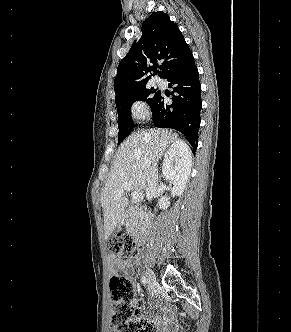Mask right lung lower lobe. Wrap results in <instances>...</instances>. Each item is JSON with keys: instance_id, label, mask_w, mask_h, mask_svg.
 Returning <instances> with one entry per match:
<instances>
[{"instance_id": "right-lung-lower-lobe-1", "label": "right lung lower lobe", "mask_w": 291, "mask_h": 332, "mask_svg": "<svg viewBox=\"0 0 291 332\" xmlns=\"http://www.w3.org/2000/svg\"><path fill=\"white\" fill-rule=\"evenodd\" d=\"M164 78L170 82L168 86L173 87L171 93L173 102L167 104L168 95L159 93L151 107L153 123L157 127L172 128L183 133L195 152L202 101L199 74L194 58L173 68Z\"/></svg>"}]
</instances>
